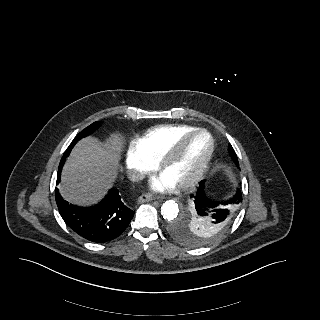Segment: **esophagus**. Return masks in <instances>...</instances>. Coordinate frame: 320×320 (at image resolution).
Masks as SVG:
<instances>
[{
    "label": "esophagus",
    "instance_id": "34e87169",
    "mask_svg": "<svg viewBox=\"0 0 320 320\" xmlns=\"http://www.w3.org/2000/svg\"><path fill=\"white\" fill-rule=\"evenodd\" d=\"M154 198L149 195V194H143L138 198V202L139 203H145V202H150L152 201Z\"/></svg>",
    "mask_w": 320,
    "mask_h": 320
}]
</instances>
